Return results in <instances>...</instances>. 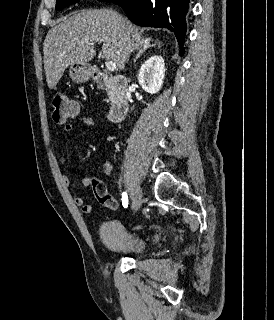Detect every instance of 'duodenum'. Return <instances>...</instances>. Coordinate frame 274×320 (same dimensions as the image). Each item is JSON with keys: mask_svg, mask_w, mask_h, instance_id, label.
<instances>
[{"mask_svg": "<svg viewBox=\"0 0 274 320\" xmlns=\"http://www.w3.org/2000/svg\"><path fill=\"white\" fill-rule=\"evenodd\" d=\"M92 77L99 90L112 89L114 91L113 101L109 109V119L115 122L122 120L130 105L128 78L122 75L110 76L101 71L93 72Z\"/></svg>", "mask_w": 274, "mask_h": 320, "instance_id": "obj_1", "label": "duodenum"}]
</instances>
